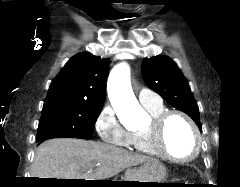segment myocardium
<instances>
[{
	"label": "myocardium",
	"mask_w": 240,
	"mask_h": 187,
	"mask_svg": "<svg viewBox=\"0 0 240 187\" xmlns=\"http://www.w3.org/2000/svg\"><path fill=\"white\" fill-rule=\"evenodd\" d=\"M172 116L182 117L190 126L193 132V135L195 138L194 150L192 154L186 158H178L171 155L169 152H167V150L163 146L164 128L167 121ZM144 131L149 139V143L152 150L158 156L166 160H169L174 163L184 164V163H188L195 160L200 154L202 138H201L199 128L196 125V123L193 121V119L188 114L182 111L169 110V111L162 112L156 117H152L150 124L144 129Z\"/></svg>",
	"instance_id": "myocardium-1"
}]
</instances>
